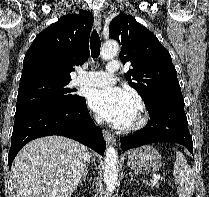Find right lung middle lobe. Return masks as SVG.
Returning <instances> with one entry per match:
<instances>
[{
	"label": "right lung middle lobe",
	"mask_w": 209,
	"mask_h": 197,
	"mask_svg": "<svg viewBox=\"0 0 209 197\" xmlns=\"http://www.w3.org/2000/svg\"><path fill=\"white\" fill-rule=\"evenodd\" d=\"M70 80L38 81L19 85L16 110L31 105L51 102L76 101L81 97L74 94V89L68 88Z\"/></svg>",
	"instance_id": "right-lung-middle-lobe-1"
}]
</instances>
